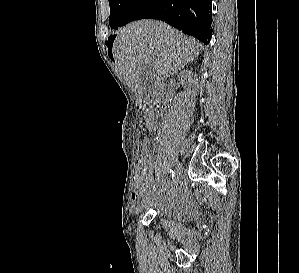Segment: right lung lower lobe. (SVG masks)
<instances>
[{
    "label": "right lung lower lobe",
    "instance_id": "right-lung-lower-lobe-1",
    "mask_svg": "<svg viewBox=\"0 0 299 273\" xmlns=\"http://www.w3.org/2000/svg\"><path fill=\"white\" fill-rule=\"evenodd\" d=\"M144 18L165 21L208 44L212 34V0H135L119 26Z\"/></svg>",
    "mask_w": 299,
    "mask_h": 273
}]
</instances>
